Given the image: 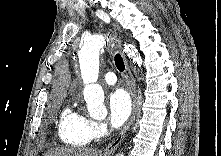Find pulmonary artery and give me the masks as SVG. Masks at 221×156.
<instances>
[{"label": "pulmonary artery", "instance_id": "pulmonary-artery-1", "mask_svg": "<svg viewBox=\"0 0 221 156\" xmlns=\"http://www.w3.org/2000/svg\"><path fill=\"white\" fill-rule=\"evenodd\" d=\"M104 80L107 84L114 85L117 81V78L113 72H107L104 76Z\"/></svg>", "mask_w": 221, "mask_h": 156}]
</instances>
